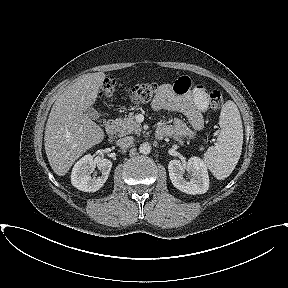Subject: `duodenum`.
<instances>
[{"label":"duodenum","instance_id":"1","mask_svg":"<svg viewBox=\"0 0 288 288\" xmlns=\"http://www.w3.org/2000/svg\"><path fill=\"white\" fill-rule=\"evenodd\" d=\"M106 132L109 136L110 139H113V137L115 136L116 132H117V123L114 120H109L106 123ZM156 138L158 139H162L164 137V134L157 130L155 133Z\"/></svg>","mask_w":288,"mask_h":288}]
</instances>
